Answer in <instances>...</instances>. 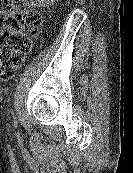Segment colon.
<instances>
[{
	"label": "colon",
	"mask_w": 133,
	"mask_h": 173,
	"mask_svg": "<svg viewBox=\"0 0 133 173\" xmlns=\"http://www.w3.org/2000/svg\"><path fill=\"white\" fill-rule=\"evenodd\" d=\"M21 1L0 0V79H9L14 75L41 30V15L20 9Z\"/></svg>",
	"instance_id": "colon-1"
}]
</instances>
